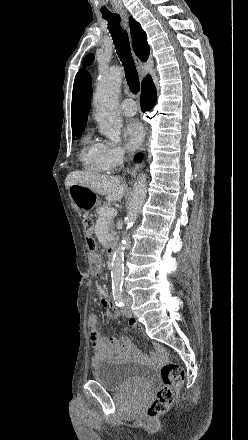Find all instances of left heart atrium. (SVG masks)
<instances>
[{"instance_id":"39dd6f15","label":"left heart atrium","mask_w":248,"mask_h":440,"mask_svg":"<svg viewBox=\"0 0 248 440\" xmlns=\"http://www.w3.org/2000/svg\"><path fill=\"white\" fill-rule=\"evenodd\" d=\"M144 129L138 120H131L127 123L124 135L132 149L138 148L144 139Z\"/></svg>"}]
</instances>
